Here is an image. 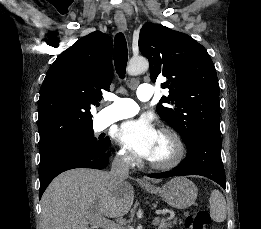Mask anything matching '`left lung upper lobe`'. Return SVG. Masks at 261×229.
Segmentation results:
<instances>
[{
  "mask_svg": "<svg viewBox=\"0 0 261 229\" xmlns=\"http://www.w3.org/2000/svg\"><path fill=\"white\" fill-rule=\"evenodd\" d=\"M139 49L149 60L151 80L168 79L162 86L169 96L160 103L174 107L158 104L157 112L186 146L200 134L220 137L219 85L206 49L187 34L150 22L140 31Z\"/></svg>",
  "mask_w": 261,
  "mask_h": 229,
  "instance_id": "5c2ea615",
  "label": "left lung upper lobe"
}]
</instances>
